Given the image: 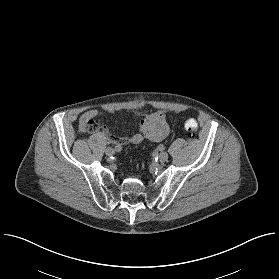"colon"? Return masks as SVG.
Wrapping results in <instances>:
<instances>
[{
    "label": "colon",
    "mask_w": 279,
    "mask_h": 279,
    "mask_svg": "<svg viewBox=\"0 0 279 279\" xmlns=\"http://www.w3.org/2000/svg\"><path fill=\"white\" fill-rule=\"evenodd\" d=\"M184 128L186 131H188L190 134H194L198 130V123L193 118H186L184 120ZM85 132H92L93 129L91 128L90 124H86L83 128Z\"/></svg>",
    "instance_id": "5ec220e1"
}]
</instances>
